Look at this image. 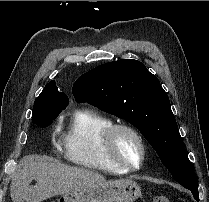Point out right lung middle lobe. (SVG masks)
<instances>
[{"label": "right lung middle lobe", "instance_id": "1", "mask_svg": "<svg viewBox=\"0 0 209 202\" xmlns=\"http://www.w3.org/2000/svg\"><path fill=\"white\" fill-rule=\"evenodd\" d=\"M51 95H39L33 106L32 122L41 127L49 126L65 108L53 106L48 103Z\"/></svg>", "mask_w": 209, "mask_h": 202}]
</instances>
